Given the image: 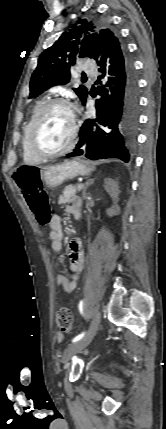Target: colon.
I'll return each mask as SVG.
<instances>
[{
  "instance_id": "colon-1",
  "label": "colon",
  "mask_w": 166,
  "mask_h": 429,
  "mask_svg": "<svg viewBox=\"0 0 166 429\" xmlns=\"http://www.w3.org/2000/svg\"><path fill=\"white\" fill-rule=\"evenodd\" d=\"M13 179L26 203L41 224L50 220V207L41 183V170L37 165H23L13 174ZM58 328L66 333L73 329V315L69 308L61 307L56 313Z\"/></svg>"
}]
</instances>
